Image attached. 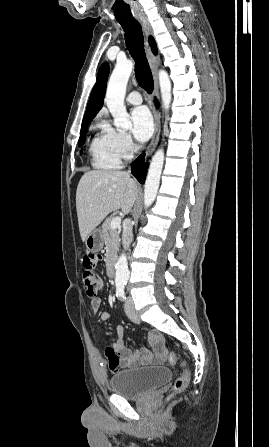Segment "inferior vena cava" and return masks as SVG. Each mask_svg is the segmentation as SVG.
Returning a JSON list of instances; mask_svg holds the SVG:
<instances>
[{"mask_svg":"<svg viewBox=\"0 0 269 447\" xmlns=\"http://www.w3.org/2000/svg\"><path fill=\"white\" fill-rule=\"evenodd\" d=\"M132 235V224L131 222H128V224H126V227H123L122 231V243L124 249H127V247H129L132 241Z\"/></svg>","mask_w":269,"mask_h":447,"instance_id":"obj_1","label":"inferior vena cava"}]
</instances>
